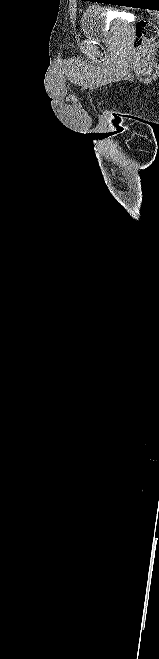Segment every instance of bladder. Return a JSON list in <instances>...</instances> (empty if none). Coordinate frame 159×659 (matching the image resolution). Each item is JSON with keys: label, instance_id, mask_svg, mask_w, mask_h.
I'll list each match as a JSON object with an SVG mask.
<instances>
[{"label": "bladder", "instance_id": "obj_1", "mask_svg": "<svg viewBox=\"0 0 159 659\" xmlns=\"http://www.w3.org/2000/svg\"><path fill=\"white\" fill-rule=\"evenodd\" d=\"M105 10L97 7H87L81 18L82 34L86 39L101 41L109 39L116 34L119 27L113 24L111 29H107V19Z\"/></svg>", "mask_w": 159, "mask_h": 659}]
</instances>
